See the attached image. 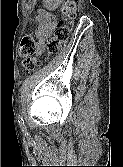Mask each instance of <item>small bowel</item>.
Listing matches in <instances>:
<instances>
[{
  "label": "small bowel",
  "mask_w": 123,
  "mask_h": 167,
  "mask_svg": "<svg viewBox=\"0 0 123 167\" xmlns=\"http://www.w3.org/2000/svg\"><path fill=\"white\" fill-rule=\"evenodd\" d=\"M55 3L57 0H48ZM37 29L35 30L36 37V53L41 54L45 49V42L51 37L56 27L57 21L53 14L41 12L37 17Z\"/></svg>",
  "instance_id": "c3829d8e"
}]
</instances>
